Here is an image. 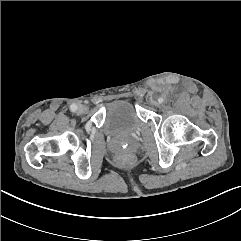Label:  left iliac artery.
<instances>
[{
	"label": "left iliac artery",
	"instance_id": "44dca946",
	"mask_svg": "<svg viewBox=\"0 0 241 241\" xmlns=\"http://www.w3.org/2000/svg\"><path fill=\"white\" fill-rule=\"evenodd\" d=\"M158 102H159V103H162V102H163V98H159V99H158Z\"/></svg>",
	"mask_w": 241,
	"mask_h": 241
}]
</instances>
